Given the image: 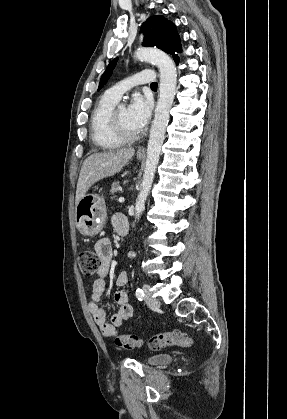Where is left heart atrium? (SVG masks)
<instances>
[{
	"label": "left heart atrium",
	"instance_id": "obj_1",
	"mask_svg": "<svg viewBox=\"0 0 287 419\" xmlns=\"http://www.w3.org/2000/svg\"><path fill=\"white\" fill-rule=\"evenodd\" d=\"M152 102L149 98L135 94L128 107L127 113L131 126L136 130H142L151 115Z\"/></svg>",
	"mask_w": 287,
	"mask_h": 419
}]
</instances>
